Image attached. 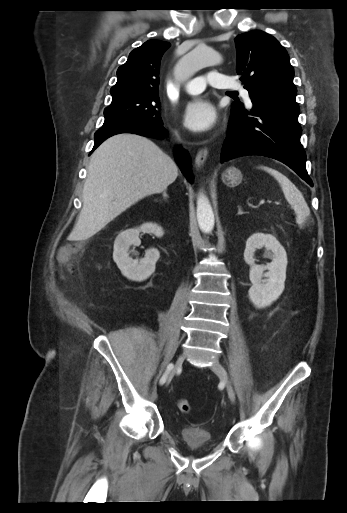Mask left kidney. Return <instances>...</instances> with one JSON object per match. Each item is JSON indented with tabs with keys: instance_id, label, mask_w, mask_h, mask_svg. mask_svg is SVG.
<instances>
[{
	"instance_id": "5707ae66",
	"label": "left kidney",
	"mask_w": 347,
	"mask_h": 513,
	"mask_svg": "<svg viewBox=\"0 0 347 513\" xmlns=\"http://www.w3.org/2000/svg\"><path fill=\"white\" fill-rule=\"evenodd\" d=\"M263 247L273 252V260L267 265H257L254 253ZM244 260L250 266L249 278L252 286L248 294L251 302L257 308L271 305L284 290L288 263L284 247L271 234L254 233L246 241ZM265 270L268 271L264 273Z\"/></svg>"
}]
</instances>
